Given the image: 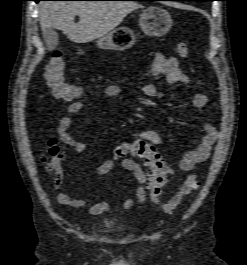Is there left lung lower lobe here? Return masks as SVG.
Listing matches in <instances>:
<instances>
[{
  "label": "left lung lower lobe",
  "instance_id": "1",
  "mask_svg": "<svg viewBox=\"0 0 247 265\" xmlns=\"http://www.w3.org/2000/svg\"><path fill=\"white\" fill-rule=\"evenodd\" d=\"M142 1H157V0H142ZM166 1H203V0H166Z\"/></svg>",
  "mask_w": 247,
  "mask_h": 265
}]
</instances>
